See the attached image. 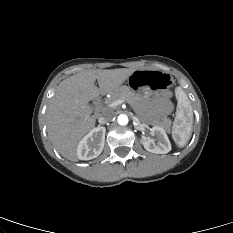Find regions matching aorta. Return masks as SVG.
<instances>
[{"mask_svg":"<svg viewBox=\"0 0 233 233\" xmlns=\"http://www.w3.org/2000/svg\"><path fill=\"white\" fill-rule=\"evenodd\" d=\"M118 124L120 125H127L128 124V117L124 114H121L117 118Z\"/></svg>","mask_w":233,"mask_h":233,"instance_id":"aorta-1","label":"aorta"}]
</instances>
